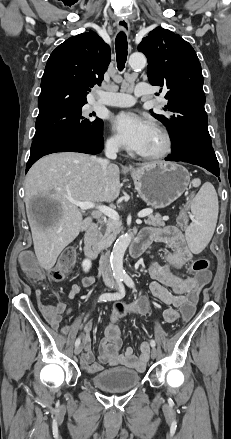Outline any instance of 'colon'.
Returning a JSON list of instances; mask_svg holds the SVG:
<instances>
[{
    "label": "colon",
    "instance_id": "obj_1",
    "mask_svg": "<svg viewBox=\"0 0 231 439\" xmlns=\"http://www.w3.org/2000/svg\"><path fill=\"white\" fill-rule=\"evenodd\" d=\"M177 224L184 229L189 224V216L187 211H183L177 218ZM76 259V251L73 247L66 248L59 256L56 264L50 271V278L54 282L62 281L71 272ZM20 265L22 270L35 279L41 278V271L31 252H22L20 255ZM192 272L194 279L198 282L195 287H190L187 291V297L183 303L179 305V316L183 323H190L194 319L197 302L200 293L204 292L205 287L211 284L212 272L209 270V261L206 258H199L192 264ZM43 320H52L56 317L54 306L42 305ZM126 313V307L122 303L115 305L112 317L119 320Z\"/></svg>",
    "mask_w": 231,
    "mask_h": 439
}]
</instances>
